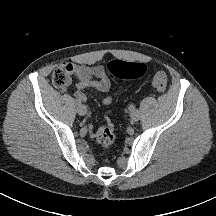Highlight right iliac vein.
<instances>
[{
    "instance_id": "obj_1",
    "label": "right iliac vein",
    "mask_w": 216,
    "mask_h": 216,
    "mask_svg": "<svg viewBox=\"0 0 216 216\" xmlns=\"http://www.w3.org/2000/svg\"><path fill=\"white\" fill-rule=\"evenodd\" d=\"M77 112L79 115L84 116L87 113V107L85 105H79L77 108Z\"/></svg>"
}]
</instances>
